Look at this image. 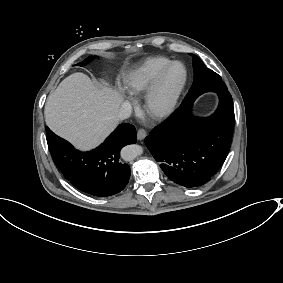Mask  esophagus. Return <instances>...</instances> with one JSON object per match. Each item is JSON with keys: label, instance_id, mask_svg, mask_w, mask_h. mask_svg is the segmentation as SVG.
Masks as SVG:
<instances>
[{"label": "esophagus", "instance_id": "1", "mask_svg": "<svg viewBox=\"0 0 283 283\" xmlns=\"http://www.w3.org/2000/svg\"><path fill=\"white\" fill-rule=\"evenodd\" d=\"M146 137V131L143 128H140L137 132V138L143 140Z\"/></svg>", "mask_w": 283, "mask_h": 283}]
</instances>
